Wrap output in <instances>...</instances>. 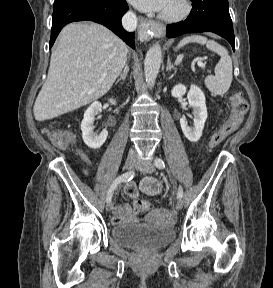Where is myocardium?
<instances>
[{"mask_svg": "<svg viewBox=\"0 0 273 288\" xmlns=\"http://www.w3.org/2000/svg\"><path fill=\"white\" fill-rule=\"evenodd\" d=\"M181 10L177 13H165L160 14V19L166 22H179L187 18L192 11V2L191 0H181Z\"/></svg>", "mask_w": 273, "mask_h": 288, "instance_id": "1", "label": "myocardium"}]
</instances>
